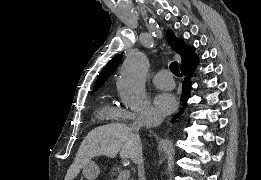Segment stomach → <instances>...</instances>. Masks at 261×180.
Wrapping results in <instances>:
<instances>
[{"instance_id":"1","label":"stomach","mask_w":261,"mask_h":180,"mask_svg":"<svg viewBox=\"0 0 261 180\" xmlns=\"http://www.w3.org/2000/svg\"><path fill=\"white\" fill-rule=\"evenodd\" d=\"M99 173V167L91 160L83 167V175L87 180H95Z\"/></svg>"}]
</instances>
